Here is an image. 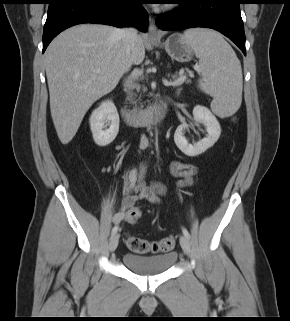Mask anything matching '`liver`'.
Segmentation results:
<instances>
[{
  "instance_id": "obj_1",
  "label": "liver",
  "mask_w": 290,
  "mask_h": 321,
  "mask_svg": "<svg viewBox=\"0 0 290 321\" xmlns=\"http://www.w3.org/2000/svg\"><path fill=\"white\" fill-rule=\"evenodd\" d=\"M120 30L101 24L76 25L55 37L45 52L51 116L64 145L73 139L91 105L145 58L143 37L137 35L128 49Z\"/></svg>"
}]
</instances>
